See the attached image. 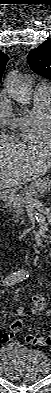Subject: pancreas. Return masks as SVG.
<instances>
[{
  "mask_svg": "<svg viewBox=\"0 0 51 393\" xmlns=\"http://www.w3.org/2000/svg\"><path fill=\"white\" fill-rule=\"evenodd\" d=\"M51 189V180L49 178H40L34 180L30 185L26 186L10 201V206L15 210L14 219H18L20 215L24 214V206L27 202L38 195L39 192H46ZM15 222H18L15 220ZM24 224V221L21 222Z\"/></svg>",
  "mask_w": 51,
  "mask_h": 393,
  "instance_id": "obj_1",
  "label": "pancreas"
}]
</instances>
